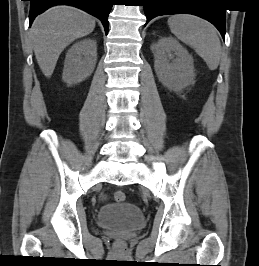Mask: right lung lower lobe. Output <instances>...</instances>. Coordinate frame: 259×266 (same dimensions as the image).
<instances>
[{
    "instance_id": "right-lung-lower-lobe-1",
    "label": "right lung lower lobe",
    "mask_w": 259,
    "mask_h": 266,
    "mask_svg": "<svg viewBox=\"0 0 259 266\" xmlns=\"http://www.w3.org/2000/svg\"><path fill=\"white\" fill-rule=\"evenodd\" d=\"M30 5V25L34 18L44 12L51 6L59 4H67L78 7L94 16L99 18L105 28L106 34L108 33V15L111 11L113 0H29Z\"/></svg>"
}]
</instances>
